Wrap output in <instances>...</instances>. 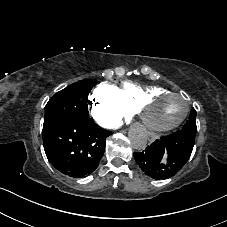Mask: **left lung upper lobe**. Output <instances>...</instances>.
I'll use <instances>...</instances> for the list:
<instances>
[{
    "label": "left lung upper lobe",
    "instance_id": "left-lung-upper-lobe-1",
    "mask_svg": "<svg viewBox=\"0 0 227 227\" xmlns=\"http://www.w3.org/2000/svg\"><path fill=\"white\" fill-rule=\"evenodd\" d=\"M179 131L185 132V133H192L196 135V132H197L196 111L194 109L191 110L188 121Z\"/></svg>",
    "mask_w": 227,
    "mask_h": 227
}]
</instances>
